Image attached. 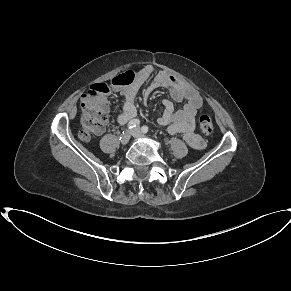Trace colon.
<instances>
[{"label": "colon", "mask_w": 291, "mask_h": 291, "mask_svg": "<svg viewBox=\"0 0 291 291\" xmlns=\"http://www.w3.org/2000/svg\"><path fill=\"white\" fill-rule=\"evenodd\" d=\"M135 79L134 74L128 73L113 79L112 86H127ZM111 85L98 83L90 87L82 98V118L79 136L84 141L101 134L107 121L108 104L105 96L110 92ZM198 125L201 132L209 135L213 131V122L209 115L201 114L198 118Z\"/></svg>", "instance_id": "colon-1"}]
</instances>
